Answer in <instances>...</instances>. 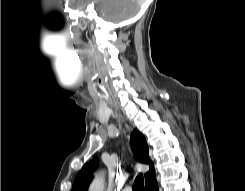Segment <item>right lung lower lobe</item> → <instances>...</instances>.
<instances>
[{
    "mask_svg": "<svg viewBox=\"0 0 245 191\" xmlns=\"http://www.w3.org/2000/svg\"><path fill=\"white\" fill-rule=\"evenodd\" d=\"M145 191H159L156 178L146 183Z\"/></svg>",
    "mask_w": 245,
    "mask_h": 191,
    "instance_id": "98d812e1",
    "label": "right lung lower lobe"
}]
</instances>
